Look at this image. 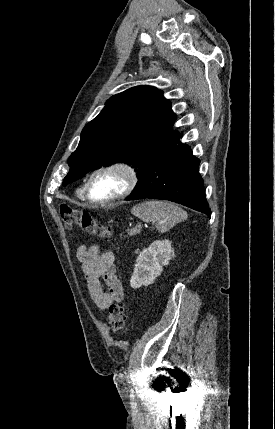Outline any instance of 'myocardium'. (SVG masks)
<instances>
[{"label": "myocardium", "instance_id": "myocardium-1", "mask_svg": "<svg viewBox=\"0 0 275 429\" xmlns=\"http://www.w3.org/2000/svg\"><path fill=\"white\" fill-rule=\"evenodd\" d=\"M108 171H115L122 174L124 178V186L121 191H119L118 193H116L115 195L109 198L94 199L90 193L91 183L95 178V176H97L100 173L108 172ZM137 182H138L137 171L130 163L126 161H121V160L111 161L100 165L99 167H97L91 172L84 186V196L88 201L94 204L107 205L129 196L135 189Z\"/></svg>", "mask_w": 275, "mask_h": 429}]
</instances>
